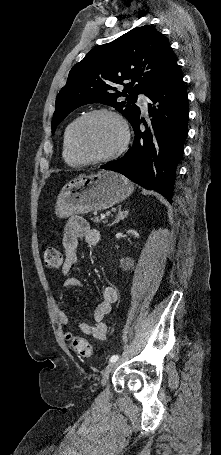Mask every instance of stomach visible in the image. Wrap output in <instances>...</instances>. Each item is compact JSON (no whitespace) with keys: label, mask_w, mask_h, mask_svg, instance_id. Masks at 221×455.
Masks as SVG:
<instances>
[{"label":"stomach","mask_w":221,"mask_h":455,"mask_svg":"<svg viewBox=\"0 0 221 455\" xmlns=\"http://www.w3.org/2000/svg\"><path fill=\"white\" fill-rule=\"evenodd\" d=\"M133 191L132 183L112 171L80 176L60 191L55 214L59 218H67L74 214L108 209L125 200Z\"/></svg>","instance_id":"obj_1"}]
</instances>
